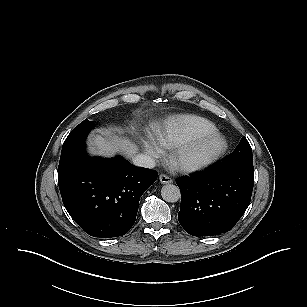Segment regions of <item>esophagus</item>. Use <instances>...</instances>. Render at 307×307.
Returning a JSON list of instances; mask_svg holds the SVG:
<instances>
[{
    "instance_id": "esophagus-1",
    "label": "esophagus",
    "mask_w": 307,
    "mask_h": 307,
    "mask_svg": "<svg viewBox=\"0 0 307 307\" xmlns=\"http://www.w3.org/2000/svg\"><path fill=\"white\" fill-rule=\"evenodd\" d=\"M159 180H160V182H161L162 184H170V183H173V180H172L169 176H167V175H165V174H161V175L159 176Z\"/></svg>"
}]
</instances>
